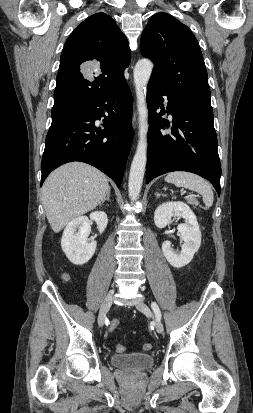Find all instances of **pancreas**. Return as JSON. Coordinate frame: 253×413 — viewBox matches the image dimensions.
<instances>
[{
	"label": "pancreas",
	"instance_id": "1",
	"mask_svg": "<svg viewBox=\"0 0 253 413\" xmlns=\"http://www.w3.org/2000/svg\"><path fill=\"white\" fill-rule=\"evenodd\" d=\"M187 202L193 206H197L199 204L194 197H187Z\"/></svg>",
	"mask_w": 253,
	"mask_h": 413
}]
</instances>
